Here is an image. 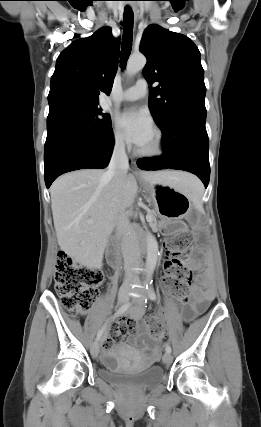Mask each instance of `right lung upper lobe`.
Instances as JSON below:
<instances>
[{"label":"right lung upper lobe","instance_id":"obj_1","mask_svg":"<svg viewBox=\"0 0 261 427\" xmlns=\"http://www.w3.org/2000/svg\"><path fill=\"white\" fill-rule=\"evenodd\" d=\"M120 40L109 27L72 42L56 61L51 77L50 109L67 104L95 105L109 95L118 67Z\"/></svg>","mask_w":261,"mask_h":427}]
</instances>
